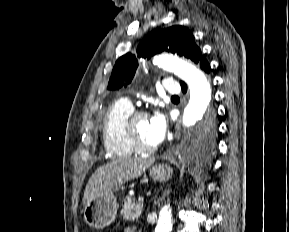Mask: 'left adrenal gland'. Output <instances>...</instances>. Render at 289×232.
<instances>
[{
	"instance_id": "obj_1",
	"label": "left adrenal gland",
	"mask_w": 289,
	"mask_h": 232,
	"mask_svg": "<svg viewBox=\"0 0 289 232\" xmlns=\"http://www.w3.org/2000/svg\"><path fill=\"white\" fill-rule=\"evenodd\" d=\"M169 192H170V191H166V192L164 193V196L167 195V194H169Z\"/></svg>"
}]
</instances>
